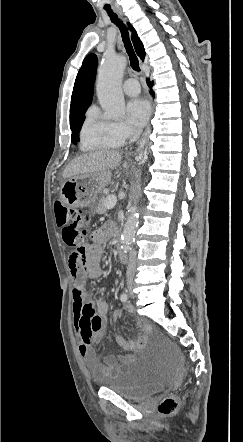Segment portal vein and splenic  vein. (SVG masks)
Wrapping results in <instances>:
<instances>
[{
    "mask_svg": "<svg viewBox=\"0 0 243 442\" xmlns=\"http://www.w3.org/2000/svg\"><path fill=\"white\" fill-rule=\"evenodd\" d=\"M116 202H117L116 196L112 195V197L107 199L105 206L107 209H112L116 205Z\"/></svg>",
    "mask_w": 243,
    "mask_h": 442,
    "instance_id": "1",
    "label": "portal vein and splenic vein"
}]
</instances>
